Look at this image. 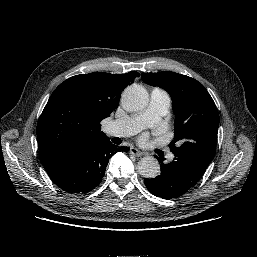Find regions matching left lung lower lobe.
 Wrapping results in <instances>:
<instances>
[{
	"label": "left lung lower lobe",
	"mask_w": 257,
	"mask_h": 257,
	"mask_svg": "<svg viewBox=\"0 0 257 257\" xmlns=\"http://www.w3.org/2000/svg\"><path fill=\"white\" fill-rule=\"evenodd\" d=\"M172 162L161 163V174L145 179L147 189L157 197L172 199L185 194L203 176L211 161L187 151L173 152Z\"/></svg>",
	"instance_id": "0a47b994"
}]
</instances>
